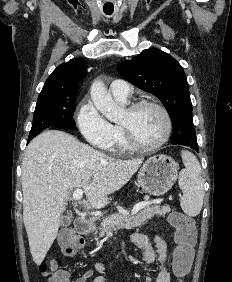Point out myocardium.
<instances>
[{"label": "myocardium", "instance_id": "obj_1", "mask_svg": "<svg viewBox=\"0 0 232 282\" xmlns=\"http://www.w3.org/2000/svg\"><path fill=\"white\" fill-rule=\"evenodd\" d=\"M144 106H151L156 108L161 112V114L164 117L166 129L163 137L156 143L151 145H143L138 143L135 138L133 137L131 130L129 127L125 124H120V128L123 134V138L125 140V143L127 144L128 148L134 151H141V152H148V151H154L162 147L164 144L168 142V140L171 137L172 130H173V121L172 118L168 112V110L160 103L149 100V99H142L139 101H136L132 103L130 106H128L127 110L129 112H135L136 110L144 107Z\"/></svg>", "mask_w": 232, "mask_h": 282}]
</instances>
